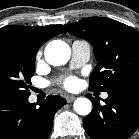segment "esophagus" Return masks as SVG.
<instances>
[{"label": "esophagus", "mask_w": 139, "mask_h": 139, "mask_svg": "<svg viewBox=\"0 0 139 139\" xmlns=\"http://www.w3.org/2000/svg\"><path fill=\"white\" fill-rule=\"evenodd\" d=\"M75 99H76V97L73 96V95H67V96H66V100H67L68 103L74 101Z\"/></svg>", "instance_id": "34e87169"}]
</instances>
